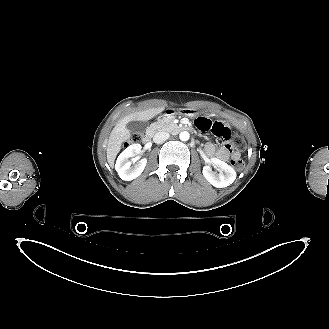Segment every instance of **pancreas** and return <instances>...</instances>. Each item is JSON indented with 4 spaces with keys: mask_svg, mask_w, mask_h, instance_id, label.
Listing matches in <instances>:
<instances>
[{
    "mask_svg": "<svg viewBox=\"0 0 329 329\" xmlns=\"http://www.w3.org/2000/svg\"><path fill=\"white\" fill-rule=\"evenodd\" d=\"M152 126L158 131H167L171 133L178 132V126L174 123L173 117H164L162 119H158L152 124Z\"/></svg>",
    "mask_w": 329,
    "mask_h": 329,
    "instance_id": "pancreas-1",
    "label": "pancreas"
}]
</instances>
